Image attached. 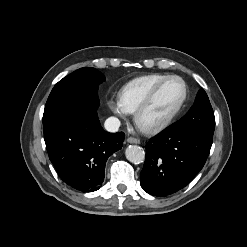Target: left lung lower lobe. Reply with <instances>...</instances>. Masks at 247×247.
<instances>
[{"instance_id":"left-lung-lower-lobe-1","label":"left lung lower lobe","mask_w":247,"mask_h":247,"mask_svg":"<svg viewBox=\"0 0 247 247\" xmlns=\"http://www.w3.org/2000/svg\"><path fill=\"white\" fill-rule=\"evenodd\" d=\"M212 140L213 134L181 131L174 124L151 138L140 173L144 191L166 196L184 188L204 166Z\"/></svg>"}]
</instances>
